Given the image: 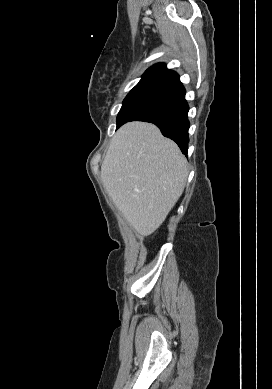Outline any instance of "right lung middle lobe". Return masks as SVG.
Here are the masks:
<instances>
[{
  "label": "right lung middle lobe",
  "mask_w": 272,
  "mask_h": 389,
  "mask_svg": "<svg viewBox=\"0 0 272 389\" xmlns=\"http://www.w3.org/2000/svg\"><path fill=\"white\" fill-rule=\"evenodd\" d=\"M162 88L156 84H137L125 97L117 116V126L136 105Z\"/></svg>",
  "instance_id": "obj_1"
}]
</instances>
